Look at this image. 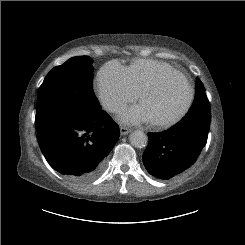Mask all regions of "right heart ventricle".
<instances>
[{
  "label": "right heart ventricle",
  "instance_id": "e07e8e85",
  "mask_svg": "<svg viewBox=\"0 0 245 245\" xmlns=\"http://www.w3.org/2000/svg\"><path fill=\"white\" fill-rule=\"evenodd\" d=\"M131 84L138 94L152 84L159 75L173 70L171 65L150 59H138L126 67Z\"/></svg>",
  "mask_w": 245,
  "mask_h": 245
}]
</instances>
